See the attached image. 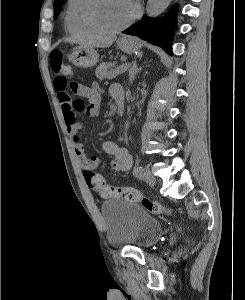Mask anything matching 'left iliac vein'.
<instances>
[{
  "label": "left iliac vein",
  "instance_id": "1",
  "mask_svg": "<svg viewBox=\"0 0 245 300\" xmlns=\"http://www.w3.org/2000/svg\"><path fill=\"white\" fill-rule=\"evenodd\" d=\"M143 174L147 184L150 186H154L156 184V179L148 168L145 169Z\"/></svg>",
  "mask_w": 245,
  "mask_h": 300
}]
</instances>
